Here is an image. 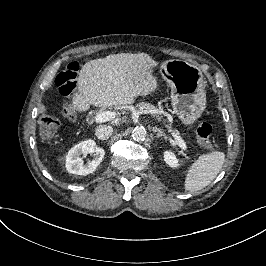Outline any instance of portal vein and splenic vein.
I'll list each match as a JSON object with an SVG mask.
<instances>
[{"mask_svg": "<svg viewBox=\"0 0 266 266\" xmlns=\"http://www.w3.org/2000/svg\"><path fill=\"white\" fill-rule=\"evenodd\" d=\"M114 117V113L106 111V112H101L96 115L95 117V123H103L105 121H110ZM178 143L180 144V148L184 150L185 152L188 151L187 145L184 143L183 140L179 139Z\"/></svg>", "mask_w": 266, "mask_h": 266, "instance_id": "18ae733b", "label": "portal vein and splenic vein"}]
</instances>
